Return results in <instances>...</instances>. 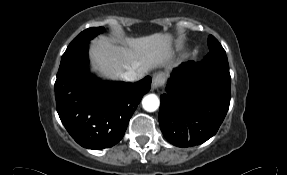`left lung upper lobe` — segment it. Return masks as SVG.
Here are the masks:
<instances>
[{
	"mask_svg": "<svg viewBox=\"0 0 287 175\" xmlns=\"http://www.w3.org/2000/svg\"><path fill=\"white\" fill-rule=\"evenodd\" d=\"M208 46L210 52L204 57L203 61L219 63L229 67L225 50L217 41V39L212 35H210L208 38Z\"/></svg>",
	"mask_w": 287,
	"mask_h": 175,
	"instance_id": "5c2ea615",
	"label": "left lung upper lobe"
}]
</instances>
